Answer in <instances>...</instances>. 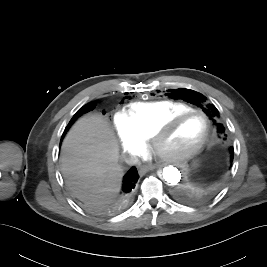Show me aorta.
<instances>
[{
  "label": "aorta",
  "mask_w": 267,
  "mask_h": 267,
  "mask_svg": "<svg viewBox=\"0 0 267 267\" xmlns=\"http://www.w3.org/2000/svg\"><path fill=\"white\" fill-rule=\"evenodd\" d=\"M158 176L163 179L169 185H177L181 180V171L172 166H166L163 169H159L157 172Z\"/></svg>",
  "instance_id": "obj_1"
}]
</instances>
